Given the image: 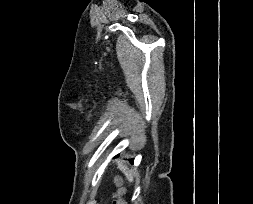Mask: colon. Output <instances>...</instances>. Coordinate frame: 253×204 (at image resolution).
<instances>
[{"mask_svg":"<svg viewBox=\"0 0 253 204\" xmlns=\"http://www.w3.org/2000/svg\"><path fill=\"white\" fill-rule=\"evenodd\" d=\"M111 204H125V202L122 198V195H121V191H118V192L113 194Z\"/></svg>","mask_w":253,"mask_h":204,"instance_id":"obj_1","label":"colon"}]
</instances>
